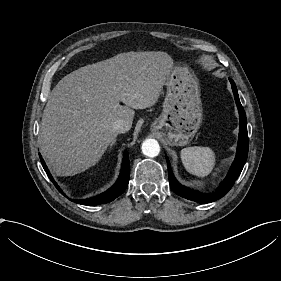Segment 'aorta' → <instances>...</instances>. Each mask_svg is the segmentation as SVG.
I'll return each mask as SVG.
<instances>
[{
    "mask_svg": "<svg viewBox=\"0 0 281 281\" xmlns=\"http://www.w3.org/2000/svg\"><path fill=\"white\" fill-rule=\"evenodd\" d=\"M142 152L148 157H156L160 152V145L155 139H146L142 143Z\"/></svg>",
    "mask_w": 281,
    "mask_h": 281,
    "instance_id": "1",
    "label": "aorta"
}]
</instances>
